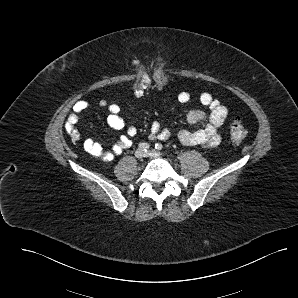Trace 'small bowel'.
<instances>
[{
  "mask_svg": "<svg viewBox=\"0 0 298 298\" xmlns=\"http://www.w3.org/2000/svg\"><path fill=\"white\" fill-rule=\"evenodd\" d=\"M189 100V93L181 92L178 94L179 102L187 103ZM199 100L202 105L209 108L210 112L205 113L200 110L188 112L186 116L187 121L191 124H200L201 128L196 131L181 130L178 133V139L182 144L188 146L216 147L222 140L220 129L228 115V108L207 92L202 93ZM100 104L103 107H107V124L115 130L126 129V134L122 135L109 150H105L99 142L92 138H87L83 141V148L92 156L102 158L105 161H112L132 145V138L137 134V129L134 126L126 125L124 119L120 116V107L117 104L108 105L105 100H102ZM89 107L90 103L88 101L79 100L74 104L72 112L68 117V123L75 126L71 133L72 138L75 140H81V134L76 129L79 114L86 111ZM170 135L169 129L162 127L158 121L151 123L150 139L167 140L170 138Z\"/></svg>",
  "mask_w": 298,
  "mask_h": 298,
  "instance_id": "c3829d8e",
  "label": "small bowel"
}]
</instances>
